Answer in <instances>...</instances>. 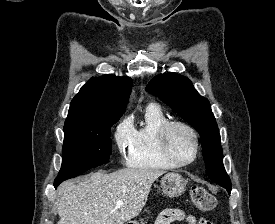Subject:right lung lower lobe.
<instances>
[{
    "label": "right lung lower lobe",
    "mask_w": 275,
    "mask_h": 224,
    "mask_svg": "<svg viewBox=\"0 0 275 224\" xmlns=\"http://www.w3.org/2000/svg\"><path fill=\"white\" fill-rule=\"evenodd\" d=\"M60 183H54V187L57 188V186L59 185Z\"/></svg>",
    "instance_id": "1"
}]
</instances>
